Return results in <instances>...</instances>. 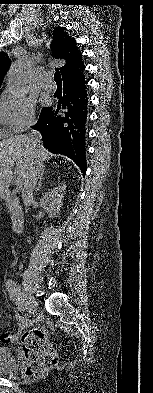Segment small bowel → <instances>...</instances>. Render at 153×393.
Returning a JSON list of instances; mask_svg holds the SVG:
<instances>
[{
  "mask_svg": "<svg viewBox=\"0 0 153 393\" xmlns=\"http://www.w3.org/2000/svg\"><path fill=\"white\" fill-rule=\"evenodd\" d=\"M21 325H25V320L24 319L21 320ZM9 337H10V334L6 333V334L0 336V340L2 342H4L5 340L9 339Z\"/></svg>",
  "mask_w": 153,
  "mask_h": 393,
  "instance_id": "small-bowel-1",
  "label": "small bowel"
}]
</instances>
